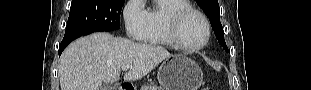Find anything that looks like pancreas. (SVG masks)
Returning a JSON list of instances; mask_svg holds the SVG:
<instances>
[{
    "mask_svg": "<svg viewBox=\"0 0 311 90\" xmlns=\"http://www.w3.org/2000/svg\"><path fill=\"white\" fill-rule=\"evenodd\" d=\"M141 90H162V89L156 86L154 83H151L142 86Z\"/></svg>",
    "mask_w": 311,
    "mask_h": 90,
    "instance_id": "pancreas-1",
    "label": "pancreas"
}]
</instances>
